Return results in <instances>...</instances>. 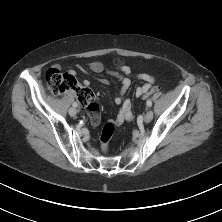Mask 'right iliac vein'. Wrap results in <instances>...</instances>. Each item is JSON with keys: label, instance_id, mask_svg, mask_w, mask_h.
Segmentation results:
<instances>
[{"label": "right iliac vein", "instance_id": "1", "mask_svg": "<svg viewBox=\"0 0 222 222\" xmlns=\"http://www.w3.org/2000/svg\"><path fill=\"white\" fill-rule=\"evenodd\" d=\"M76 114H77V110L74 107H71L69 109V115L72 116V117H75Z\"/></svg>", "mask_w": 222, "mask_h": 222}]
</instances>
